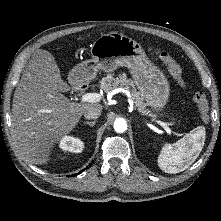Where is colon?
<instances>
[{"label":"colon","instance_id":"obj_1","mask_svg":"<svg viewBox=\"0 0 221 221\" xmlns=\"http://www.w3.org/2000/svg\"><path fill=\"white\" fill-rule=\"evenodd\" d=\"M153 52L166 65L169 73L185 88L186 84L182 76V70L173 57L166 51L153 50ZM192 99L199 109L203 122L207 123L209 121V104L206 96L201 92H196L192 94Z\"/></svg>","mask_w":221,"mask_h":221}]
</instances>
